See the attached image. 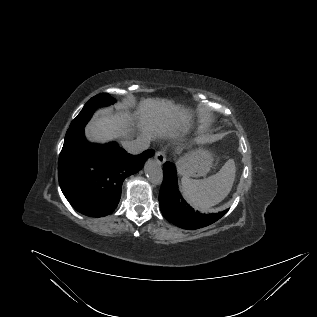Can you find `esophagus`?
Returning <instances> with one entry per match:
<instances>
[{
	"mask_svg": "<svg viewBox=\"0 0 317 317\" xmlns=\"http://www.w3.org/2000/svg\"><path fill=\"white\" fill-rule=\"evenodd\" d=\"M154 158L158 162V164H160V165L164 164L166 161V150L162 149V150L157 151L155 153Z\"/></svg>",
	"mask_w": 317,
	"mask_h": 317,
	"instance_id": "34e87169",
	"label": "esophagus"
}]
</instances>
